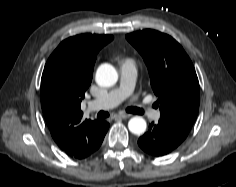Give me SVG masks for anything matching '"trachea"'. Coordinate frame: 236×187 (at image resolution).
I'll list each match as a JSON object with an SVG mask.
<instances>
[{
  "label": "trachea",
  "instance_id": "3493384b",
  "mask_svg": "<svg viewBox=\"0 0 236 187\" xmlns=\"http://www.w3.org/2000/svg\"><path fill=\"white\" fill-rule=\"evenodd\" d=\"M127 112H130V113H134V114H143V111L136 108V107H130V108H127L126 110ZM109 116V113L108 112H105V111H100L98 114H97V118L101 119V118H106Z\"/></svg>",
  "mask_w": 236,
  "mask_h": 187
}]
</instances>
